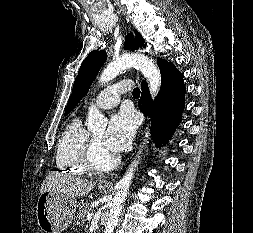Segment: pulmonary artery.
I'll use <instances>...</instances> for the list:
<instances>
[{
  "instance_id": "1",
  "label": "pulmonary artery",
  "mask_w": 253,
  "mask_h": 233,
  "mask_svg": "<svg viewBox=\"0 0 253 233\" xmlns=\"http://www.w3.org/2000/svg\"><path fill=\"white\" fill-rule=\"evenodd\" d=\"M130 80L111 85L101 91L95 98V105L99 108L110 109L118 105L121 95L128 91Z\"/></svg>"
}]
</instances>
